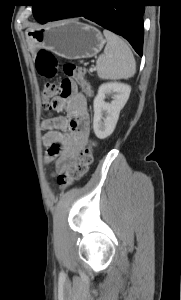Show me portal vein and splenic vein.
Here are the masks:
<instances>
[{
	"instance_id": "18ae733b",
	"label": "portal vein and splenic vein",
	"mask_w": 181,
	"mask_h": 300,
	"mask_svg": "<svg viewBox=\"0 0 181 300\" xmlns=\"http://www.w3.org/2000/svg\"><path fill=\"white\" fill-rule=\"evenodd\" d=\"M89 71H90V72H93V71H95V68H90Z\"/></svg>"
}]
</instances>
